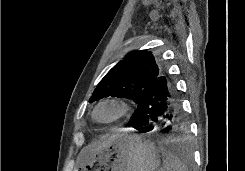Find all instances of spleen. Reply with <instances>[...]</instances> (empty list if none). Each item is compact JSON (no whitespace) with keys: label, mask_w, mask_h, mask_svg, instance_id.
I'll list each match as a JSON object with an SVG mask.
<instances>
[{"label":"spleen","mask_w":245,"mask_h":171,"mask_svg":"<svg viewBox=\"0 0 245 171\" xmlns=\"http://www.w3.org/2000/svg\"><path fill=\"white\" fill-rule=\"evenodd\" d=\"M161 153L163 156V167L160 171H188L187 166L170 151L161 149Z\"/></svg>","instance_id":"obj_1"}]
</instances>
